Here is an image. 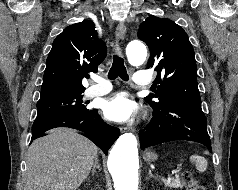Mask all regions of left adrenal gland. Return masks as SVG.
<instances>
[{"label":"left adrenal gland","mask_w":238,"mask_h":190,"mask_svg":"<svg viewBox=\"0 0 238 190\" xmlns=\"http://www.w3.org/2000/svg\"><path fill=\"white\" fill-rule=\"evenodd\" d=\"M153 174H152V171L149 169L148 171V177L146 178L147 180L150 179V178H153Z\"/></svg>","instance_id":"obj_1"}]
</instances>
